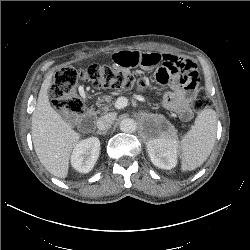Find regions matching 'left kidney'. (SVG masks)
I'll list each match as a JSON object with an SVG mask.
<instances>
[{
  "mask_svg": "<svg viewBox=\"0 0 250 250\" xmlns=\"http://www.w3.org/2000/svg\"><path fill=\"white\" fill-rule=\"evenodd\" d=\"M147 150L151 162L161 169L170 170L177 165L179 142L172 135H165L150 140Z\"/></svg>",
  "mask_w": 250,
  "mask_h": 250,
  "instance_id": "1",
  "label": "left kidney"
}]
</instances>
